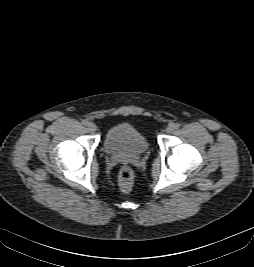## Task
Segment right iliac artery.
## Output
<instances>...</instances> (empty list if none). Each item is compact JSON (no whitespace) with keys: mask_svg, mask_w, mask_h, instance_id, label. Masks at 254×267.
<instances>
[{"mask_svg":"<svg viewBox=\"0 0 254 267\" xmlns=\"http://www.w3.org/2000/svg\"><path fill=\"white\" fill-rule=\"evenodd\" d=\"M87 123H88V122H87L86 120H82V124H83V125H87Z\"/></svg>","mask_w":254,"mask_h":267,"instance_id":"1","label":"right iliac artery"}]
</instances>
